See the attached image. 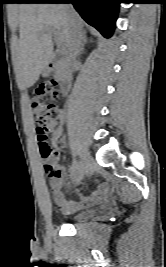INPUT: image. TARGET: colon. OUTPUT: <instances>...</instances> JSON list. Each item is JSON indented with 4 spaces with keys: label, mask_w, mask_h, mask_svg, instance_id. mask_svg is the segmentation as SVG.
I'll return each mask as SVG.
<instances>
[{
    "label": "colon",
    "mask_w": 166,
    "mask_h": 267,
    "mask_svg": "<svg viewBox=\"0 0 166 267\" xmlns=\"http://www.w3.org/2000/svg\"><path fill=\"white\" fill-rule=\"evenodd\" d=\"M49 97L52 101H46L43 97ZM60 98V94L56 89L55 82H49L40 86L36 91V96L31 102L32 111L37 124L36 133L39 144V150L42 158L46 160L44 170L46 175L53 179L57 177L58 170L51 161L53 150L47 142L48 126L57 120L60 116V109L54 102Z\"/></svg>",
    "instance_id": "1"
}]
</instances>
